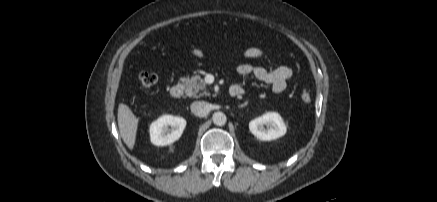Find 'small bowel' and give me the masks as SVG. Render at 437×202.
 I'll return each instance as SVG.
<instances>
[{"label": "small bowel", "mask_w": 437, "mask_h": 202, "mask_svg": "<svg viewBox=\"0 0 437 202\" xmlns=\"http://www.w3.org/2000/svg\"><path fill=\"white\" fill-rule=\"evenodd\" d=\"M188 52L197 58H204L207 55L205 51L199 48H190ZM264 56V51L258 47H250L244 52L246 59H259ZM237 71L239 75L243 77L252 76L257 81L270 85L275 93H282L286 89L287 83L293 74L291 68L288 66H278L267 69L261 66H253L250 63L240 64ZM233 87L238 88L241 94L244 92L241 85H235Z\"/></svg>", "instance_id": "obj_1"}]
</instances>
